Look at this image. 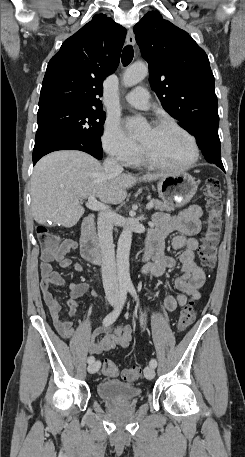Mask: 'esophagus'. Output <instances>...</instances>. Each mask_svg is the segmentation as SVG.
Masks as SVG:
<instances>
[{"label":"esophagus","instance_id":"34e87169","mask_svg":"<svg viewBox=\"0 0 245 457\" xmlns=\"http://www.w3.org/2000/svg\"><path fill=\"white\" fill-rule=\"evenodd\" d=\"M126 41H127L128 45L135 44V37H134V33H133L132 29L128 30Z\"/></svg>","mask_w":245,"mask_h":457}]
</instances>
